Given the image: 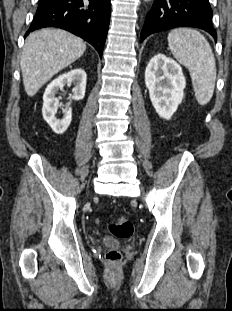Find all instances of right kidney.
Masks as SVG:
<instances>
[{"label":"right kidney","mask_w":232,"mask_h":311,"mask_svg":"<svg viewBox=\"0 0 232 311\" xmlns=\"http://www.w3.org/2000/svg\"><path fill=\"white\" fill-rule=\"evenodd\" d=\"M87 75L83 69H74L64 73L54 79L46 88L43 95L42 113L44 120L49 124L56 134H63L69 127L72 120V109L69 104L63 112V117H56V110L59 107V101L55 97L59 90L65 85H74L73 100H81L85 96Z\"/></svg>","instance_id":"obj_1"}]
</instances>
